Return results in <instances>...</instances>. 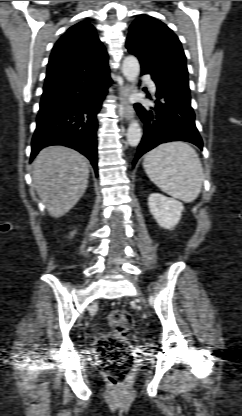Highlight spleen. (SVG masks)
<instances>
[{
  "instance_id": "spleen-1",
  "label": "spleen",
  "mask_w": 242,
  "mask_h": 416,
  "mask_svg": "<svg viewBox=\"0 0 242 416\" xmlns=\"http://www.w3.org/2000/svg\"><path fill=\"white\" fill-rule=\"evenodd\" d=\"M149 179L168 195L190 203L201 192L203 168L197 152L175 141L149 151L143 161Z\"/></svg>"
}]
</instances>
